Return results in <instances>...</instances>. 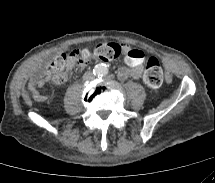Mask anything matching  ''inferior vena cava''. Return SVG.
<instances>
[{"label":"inferior vena cava","instance_id":"602c4592","mask_svg":"<svg viewBox=\"0 0 215 183\" xmlns=\"http://www.w3.org/2000/svg\"><path fill=\"white\" fill-rule=\"evenodd\" d=\"M83 77H84V79H89V78L93 77V74H92V72H86Z\"/></svg>","mask_w":215,"mask_h":183}]
</instances>
